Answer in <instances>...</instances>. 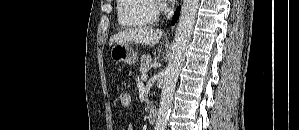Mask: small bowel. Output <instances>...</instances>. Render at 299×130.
I'll return each mask as SVG.
<instances>
[{
    "mask_svg": "<svg viewBox=\"0 0 299 130\" xmlns=\"http://www.w3.org/2000/svg\"><path fill=\"white\" fill-rule=\"evenodd\" d=\"M126 130H133V126L132 125H128Z\"/></svg>",
    "mask_w": 299,
    "mask_h": 130,
    "instance_id": "obj_1",
    "label": "small bowel"
}]
</instances>
